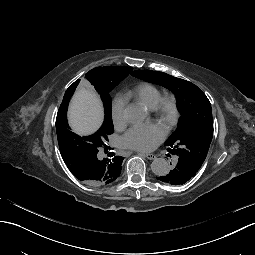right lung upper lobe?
<instances>
[{
    "instance_id": "right-lung-upper-lobe-1",
    "label": "right lung upper lobe",
    "mask_w": 255,
    "mask_h": 255,
    "mask_svg": "<svg viewBox=\"0 0 255 255\" xmlns=\"http://www.w3.org/2000/svg\"><path fill=\"white\" fill-rule=\"evenodd\" d=\"M117 66H104L97 67L86 73V79L95 87L99 84L100 80L108 74V72ZM80 80L74 82L65 92L63 101L58 110L56 118V130L57 138L62 158L67 165L71 173L79 178V165L82 160L89 162L90 158L97 157L100 160V180L98 182H91L89 179L83 181L93 186H104L114 182L121 173V164L123 157L113 156L107 158L102 153L104 148L105 153L109 152L110 147L106 146L107 136L113 133V125L104 126L92 136L80 137L69 130L68 123L66 121V112L69 100L73 95ZM76 140L88 141L90 143V152L88 154L76 153L73 151V142Z\"/></svg>"
}]
</instances>
